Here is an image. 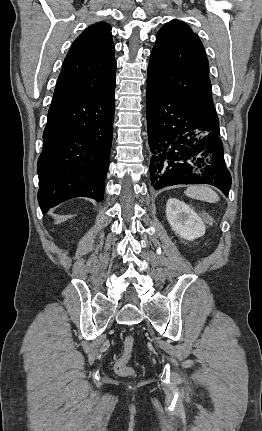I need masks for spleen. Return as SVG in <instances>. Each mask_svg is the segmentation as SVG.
I'll return each instance as SVG.
<instances>
[{"label": "spleen", "instance_id": "obj_1", "mask_svg": "<svg viewBox=\"0 0 262 431\" xmlns=\"http://www.w3.org/2000/svg\"><path fill=\"white\" fill-rule=\"evenodd\" d=\"M185 194L190 198L209 203H216L219 201L218 194L211 188L203 185L190 186L186 189Z\"/></svg>", "mask_w": 262, "mask_h": 431}]
</instances>
